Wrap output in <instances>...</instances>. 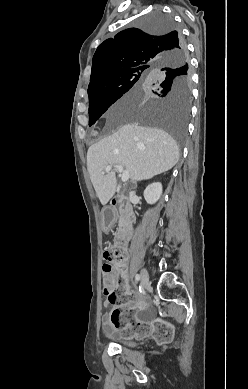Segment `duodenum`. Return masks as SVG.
<instances>
[{"instance_id": "1", "label": "duodenum", "mask_w": 248, "mask_h": 389, "mask_svg": "<svg viewBox=\"0 0 248 389\" xmlns=\"http://www.w3.org/2000/svg\"><path fill=\"white\" fill-rule=\"evenodd\" d=\"M109 207L112 211L120 207V200L117 197H113L109 202ZM104 213V212H103ZM122 213V222H121V232H120V242L122 246L126 247L128 241L130 240L133 233V223H134V213L132 207L129 203L123 205L121 210ZM112 226V220L110 226H104L105 230L110 229Z\"/></svg>"}]
</instances>
